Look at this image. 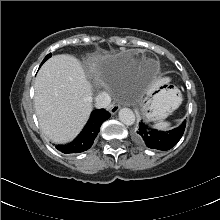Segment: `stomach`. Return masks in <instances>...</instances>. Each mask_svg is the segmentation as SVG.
I'll list each match as a JSON object with an SVG mask.
<instances>
[{
	"instance_id": "0dacf381",
	"label": "stomach",
	"mask_w": 220,
	"mask_h": 220,
	"mask_svg": "<svg viewBox=\"0 0 220 220\" xmlns=\"http://www.w3.org/2000/svg\"><path fill=\"white\" fill-rule=\"evenodd\" d=\"M156 93L148 98L143 104V110L148 120L156 121L168 117L181 104L182 98L180 91L162 81L155 87Z\"/></svg>"
}]
</instances>
